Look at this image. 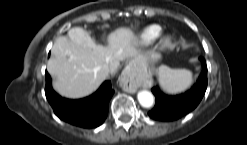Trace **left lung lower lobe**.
I'll list each match as a JSON object with an SVG mask.
<instances>
[{
	"label": "left lung lower lobe",
	"mask_w": 247,
	"mask_h": 145,
	"mask_svg": "<svg viewBox=\"0 0 247 145\" xmlns=\"http://www.w3.org/2000/svg\"><path fill=\"white\" fill-rule=\"evenodd\" d=\"M200 61L203 63V72L201 73L200 80L189 91L176 96H167L158 87L152 89L156 97V104L148 113L151 118L161 121H172L179 119L196 108L207 88L205 60L201 57Z\"/></svg>",
	"instance_id": "1"
}]
</instances>
